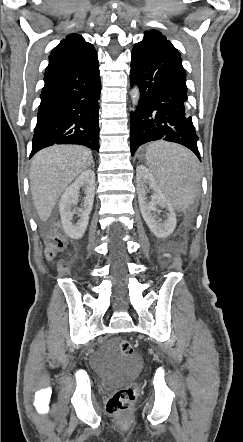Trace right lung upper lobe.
Here are the masks:
<instances>
[{
  "instance_id": "obj_1",
  "label": "right lung upper lobe",
  "mask_w": 243,
  "mask_h": 442,
  "mask_svg": "<svg viewBox=\"0 0 243 442\" xmlns=\"http://www.w3.org/2000/svg\"><path fill=\"white\" fill-rule=\"evenodd\" d=\"M93 52L94 46L86 42L81 35H68L52 50L47 68L84 58Z\"/></svg>"
}]
</instances>
